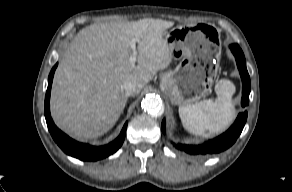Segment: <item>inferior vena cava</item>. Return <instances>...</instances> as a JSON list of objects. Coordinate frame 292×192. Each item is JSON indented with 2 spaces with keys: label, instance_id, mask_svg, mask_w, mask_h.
<instances>
[{
  "label": "inferior vena cava",
  "instance_id": "obj_1",
  "mask_svg": "<svg viewBox=\"0 0 292 192\" xmlns=\"http://www.w3.org/2000/svg\"><path fill=\"white\" fill-rule=\"evenodd\" d=\"M122 89L126 96L133 95L136 91V87L131 81L124 82V84L122 85Z\"/></svg>",
  "mask_w": 292,
  "mask_h": 192
}]
</instances>
